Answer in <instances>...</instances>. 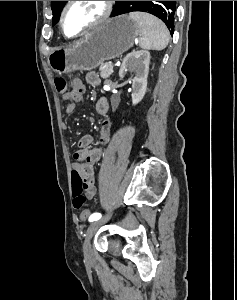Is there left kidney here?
<instances>
[{"mask_svg": "<svg viewBox=\"0 0 237 300\" xmlns=\"http://www.w3.org/2000/svg\"><path fill=\"white\" fill-rule=\"evenodd\" d=\"M150 53L148 51H132L128 53L120 67L119 77L123 79L127 71L135 73L132 79V103L137 105L142 101L147 89Z\"/></svg>", "mask_w": 237, "mask_h": 300, "instance_id": "1", "label": "left kidney"}]
</instances>
